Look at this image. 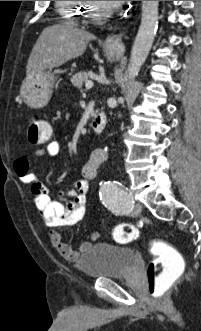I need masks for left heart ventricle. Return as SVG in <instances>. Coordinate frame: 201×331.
<instances>
[{
    "label": "left heart ventricle",
    "instance_id": "obj_1",
    "mask_svg": "<svg viewBox=\"0 0 201 331\" xmlns=\"http://www.w3.org/2000/svg\"><path fill=\"white\" fill-rule=\"evenodd\" d=\"M97 2H99L100 6H101L102 8L109 7V6H107L106 4L102 3L101 1H97Z\"/></svg>",
    "mask_w": 201,
    "mask_h": 331
}]
</instances>
